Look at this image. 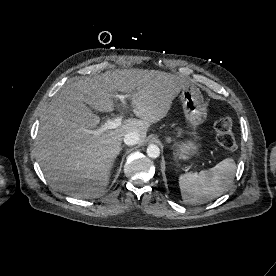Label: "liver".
<instances>
[{
	"instance_id": "1",
	"label": "liver",
	"mask_w": 276,
	"mask_h": 276,
	"mask_svg": "<svg viewBox=\"0 0 276 276\" xmlns=\"http://www.w3.org/2000/svg\"><path fill=\"white\" fill-rule=\"evenodd\" d=\"M188 86L179 76L156 70L107 71L71 82L56 93L40 118L36 156L50 185L76 198H97L129 132L143 142L151 123L163 119L177 95ZM117 92L131 99L133 113L118 128L95 137L100 117L111 112Z\"/></svg>"
}]
</instances>
